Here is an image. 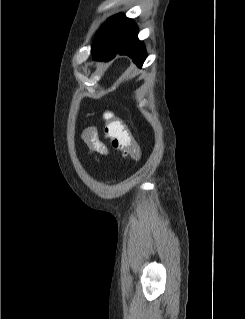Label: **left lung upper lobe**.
<instances>
[{
	"instance_id": "left-lung-upper-lobe-1",
	"label": "left lung upper lobe",
	"mask_w": 245,
	"mask_h": 319,
	"mask_svg": "<svg viewBox=\"0 0 245 319\" xmlns=\"http://www.w3.org/2000/svg\"><path fill=\"white\" fill-rule=\"evenodd\" d=\"M130 21L131 19L125 17L123 14L112 16L108 23L99 31L92 44V49L102 50L112 48Z\"/></svg>"
}]
</instances>
